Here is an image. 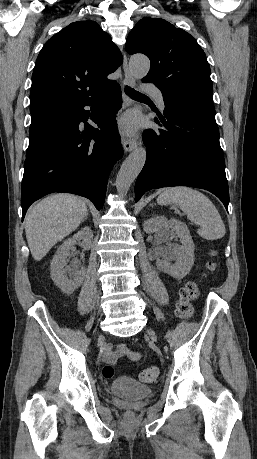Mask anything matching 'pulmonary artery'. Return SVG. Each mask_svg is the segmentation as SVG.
<instances>
[{"label":"pulmonary artery","instance_id":"pulmonary-artery-1","mask_svg":"<svg viewBox=\"0 0 257 459\" xmlns=\"http://www.w3.org/2000/svg\"><path fill=\"white\" fill-rule=\"evenodd\" d=\"M147 91L154 97V99L157 102L158 106L161 109H164L165 108V103H164V98H163V95H162L161 91L159 89H156V88H150Z\"/></svg>","mask_w":257,"mask_h":459}]
</instances>
